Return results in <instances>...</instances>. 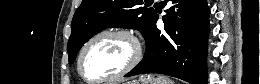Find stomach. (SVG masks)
Returning <instances> with one entry per match:
<instances>
[{"label":"stomach","mask_w":260,"mask_h":84,"mask_svg":"<svg viewBox=\"0 0 260 84\" xmlns=\"http://www.w3.org/2000/svg\"><path fill=\"white\" fill-rule=\"evenodd\" d=\"M125 84H172L171 80L160 74L143 75L138 80H133Z\"/></svg>","instance_id":"obj_1"}]
</instances>
